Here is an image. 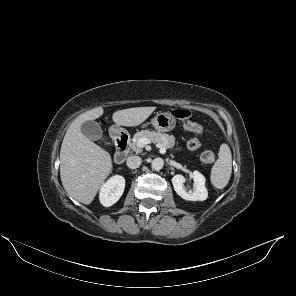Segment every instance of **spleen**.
<instances>
[{"label": "spleen", "mask_w": 296, "mask_h": 296, "mask_svg": "<svg viewBox=\"0 0 296 296\" xmlns=\"http://www.w3.org/2000/svg\"><path fill=\"white\" fill-rule=\"evenodd\" d=\"M232 173V154L227 144L220 146L218 159L214 163L210 180L217 189H223L228 184Z\"/></svg>", "instance_id": "3e777b00"}]
</instances>
